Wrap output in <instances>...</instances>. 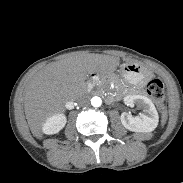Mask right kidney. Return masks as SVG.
I'll return each instance as SVG.
<instances>
[{
  "label": "right kidney",
  "mask_w": 183,
  "mask_h": 183,
  "mask_svg": "<svg viewBox=\"0 0 183 183\" xmlns=\"http://www.w3.org/2000/svg\"><path fill=\"white\" fill-rule=\"evenodd\" d=\"M66 121L64 114L55 113L44 121L42 130L48 135L58 133L65 126Z\"/></svg>",
  "instance_id": "1"
}]
</instances>
